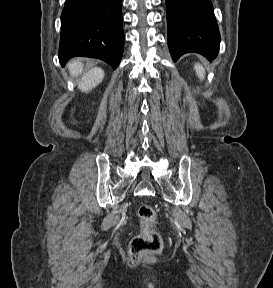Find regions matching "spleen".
<instances>
[{
    "label": "spleen",
    "mask_w": 273,
    "mask_h": 288,
    "mask_svg": "<svg viewBox=\"0 0 273 288\" xmlns=\"http://www.w3.org/2000/svg\"><path fill=\"white\" fill-rule=\"evenodd\" d=\"M195 71L200 80H203L205 78V69L202 64L197 63L195 65Z\"/></svg>",
    "instance_id": "obj_1"
}]
</instances>
